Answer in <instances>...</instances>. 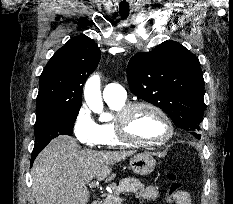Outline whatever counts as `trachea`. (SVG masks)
I'll list each match as a JSON object with an SVG mask.
<instances>
[{
  "instance_id": "1",
  "label": "trachea",
  "mask_w": 233,
  "mask_h": 204,
  "mask_svg": "<svg viewBox=\"0 0 233 204\" xmlns=\"http://www.w3.org/2000/svg\"><path fill=\"white\" fill-rule=\"evenodd\" d=\"M129 15V13H121L122 17H127Z\"/></svg>"
}]
</instances>
